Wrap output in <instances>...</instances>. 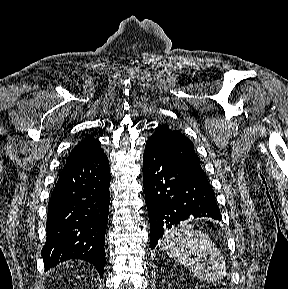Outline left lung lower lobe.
<instances>
[{
    "instance_id": "1",
    "label": "left lung lower lobe",
    "mask_w": 288,
    "mask_h": 289,
    "mask_svg": "<svg viewBox=\"0 0 288 289\" xmlns=\"http://www.w3.org/2000/svg\"><path fill=\"white\" fill-rule=\"evenodd\" d=\"M143 184L151 249L166 229L190 216L221 220L208 179L172 161L150 140L143 156Z\"/></svg>"
}]
</instances>
